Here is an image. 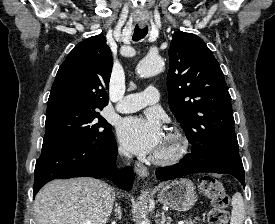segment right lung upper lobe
I'll use <instances>...</instances> for the list:
<instances>
[{
	"mask_svg": "<svg viewBox=\"0 0 275 224\" xmlns=\"http://www.w3.org/2000/svg\"><path fill=\"white\" fill-rule=\"evenodd\" d=\"M111 70L112 55L103 35L78 43L57 72L47 114L68 108L102 110L108 104Z\"/></svg>",
	"mask_w": 275,
	"mask_h": 224,
	"instance_id": "right-lung-upper-lobe-1",
	"label": "right lung upper lobe"
}]
</instances>
